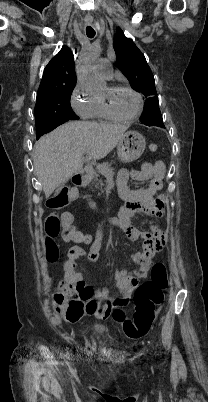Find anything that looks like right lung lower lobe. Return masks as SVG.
<instances>
[{"mask_svg": "<svg viewBox=\"0 0 208 402\" xmlns=\"http://www.w3.org/2000/svg\"><path fill=\"white\" fill-rule=\"evenodd\" d=\"M63 123H64L63 121H59L55 118H49L47 120L38 121L36 123V129L38 131L42 132L41 134L43 135V132H44V134L48 133Z\"/></svg>", "mask_w": 208, "mask_h": 402, "instance_id": "98d812e1", "label": "right lung lower lobe"}]
</instances>
